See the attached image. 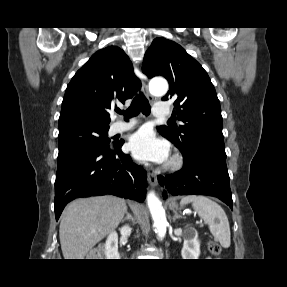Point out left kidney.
I'll return each instance as SVG.
<instances>
[{"label":"left kidney","instance_id":"obj_1","mask_svg":"<svg viewBox=\"0 0 287 287\" xmlns=\"http://www.w3.org/2000/svg\"><path fill=\"white\" fill-rule=\"evenodd\" d=\"M188 238L184 240L181 251L183 259H198L200 255V242L197 232L192 229L187 232Z\"/></svg>","mask_w":287,"mask_h":287}]
</instances>
